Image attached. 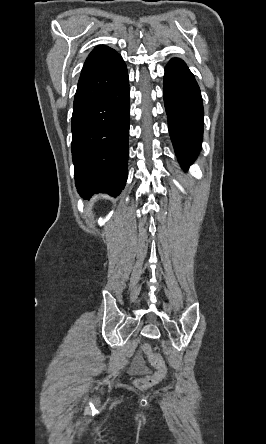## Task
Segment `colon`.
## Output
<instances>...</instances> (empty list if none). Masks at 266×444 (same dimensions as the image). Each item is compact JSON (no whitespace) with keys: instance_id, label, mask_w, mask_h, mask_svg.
I'll use <instances>...</instances> for the list:
<instances>
[{"instance_id":"obj_1","label":"colon","mask_w":266,"mask_h":444,"mask_svg":"<svg viewBox=\"0 0 266 444\" xmlns=\"http://www.w3.org/2000/svg\"><path fill=\"white\" fill-rule=\"evenodd\" d=\"M143 351L148 356L154 371L149 375L135 381L137 387L146 389L159 383L166 375L167 367L161 355L153 350L149 344L143 346Z\"/></svg>"}]
</instances>
